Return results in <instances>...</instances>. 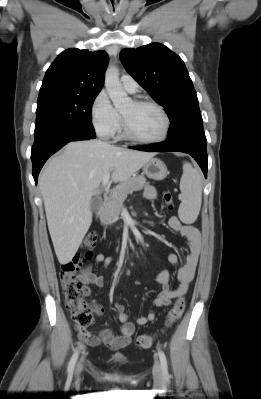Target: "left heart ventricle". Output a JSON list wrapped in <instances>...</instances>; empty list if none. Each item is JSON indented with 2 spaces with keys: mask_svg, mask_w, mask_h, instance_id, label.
I'll use <instances>...</instances> for the list:
<instances>
[{
  "mask_svg": "<svg viewBox=\"0 0 261 399\" xmlns=\"http://www.w3.org/2000/svg\"><path fill=\"white\" fill-rule=\"evenodd\" d=\"M131 130L142 138L159 137L164 129V120L160 112L147 105L130 102L122 111Z\"/></svg>",
  "mask_w": 261,
  "mask_h": 399,
  "instance_id": "b2bd125f",
  "label": "left heart ventricle"
}]
</instances>
